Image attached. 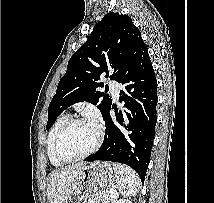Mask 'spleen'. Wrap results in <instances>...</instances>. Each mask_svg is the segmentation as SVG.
Wrapping results in <instances>:
<instances>
[{
	"label": "spleen",
	"instance_id": "spleen-1",
	"mask_svg": "<svg viewBox=\"0 0 214 203\" xmlns=\"http://www.w3.org/2000/svg\"><path fill=\"white\" fill-rule=\"evenodd\" d=\"M116 170V184L124 196H134L139 192L140 179L134 170L122 164H113Z\"/></svg>",
	"mask_w": 214,
	"mask_h": 203
}]
</instances>
